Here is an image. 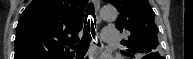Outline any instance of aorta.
<instances>
[{
  "mask_svg": "<svg viewBox=\"0 0 193 59\" xmlns=\"http://www.w3.org/2000/svg\"><path fill=\"white\" fill-rule=\"evenodd\" d=\"M101 18L104 20H114L118 16V12L113 6H104L100 11Z\"/></svg>",
  "mask_w": 193,
  "mask_h": 59,
  "instance_id": "obj_1",
  "label": "aorta"
}]
</instances>
